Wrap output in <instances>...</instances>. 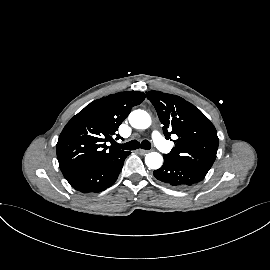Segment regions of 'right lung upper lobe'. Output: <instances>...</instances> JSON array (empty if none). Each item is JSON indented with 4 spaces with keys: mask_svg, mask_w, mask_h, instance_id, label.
<instances>
[{
    "mask_svg": "<svg viewBox=\"0 0 270 270\" xmlns=\"http://www.w3.org/2000/svg\"><path fill=\"white\" fill-rule=\"evenodd\" d=\"M145 94L125 91L93 101L75 115L61 132L56 152L62 173L103 162L126 151L108 149L106 142Z\"/></svg>",
    "mask_w": 270,
    "mask_h": 270,
    "instance_id": "right-lung-upper-lobe-1",
    "label": "right lung upper lobe"
}]
</instances>
